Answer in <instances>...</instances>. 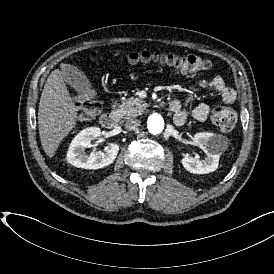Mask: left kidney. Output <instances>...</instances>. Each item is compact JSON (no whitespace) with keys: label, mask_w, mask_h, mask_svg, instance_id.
<instances>
[{"label":"left kidney","mask_w":274,"mask_h":274,"mask_svg":"<svg viewBox=\"0 0 274 274\" xmlns=\"http://www.w3.org/2000/svg\"><path fill=\"white\" fill-rule=\"evenodd\" d=\"M222 140L221 135L214 133H196L193 136V141L195 144L205 147L207 157L199 160L195 155L186 154L181 161L183 167L194 174H209L217 170L220 155L226 148Z\"/></svg>","instance_id":"left-kidney-1"}]
</instances>
